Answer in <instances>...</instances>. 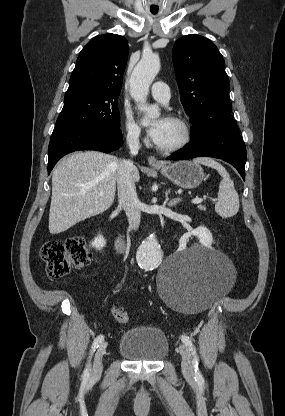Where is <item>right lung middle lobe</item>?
I'll use <instances>...</instances> for the list:
<instances>
[{"mask_svg": "<svg viewBox=\"0 0 285 416\" xmlns=\"http://www.w3.org/2000/svg\"><path fill=\"white\" fill-rule=\"evenodd\" d=\"M118 96L85 98L65 95L64 107L57 119L58 128L120 129Z\"/></svg>", "mask_w": 285, "mask_h": 416, "instance_id": "dd1d6c3e", "label": "right lung middle lobe"}]
</instances>
